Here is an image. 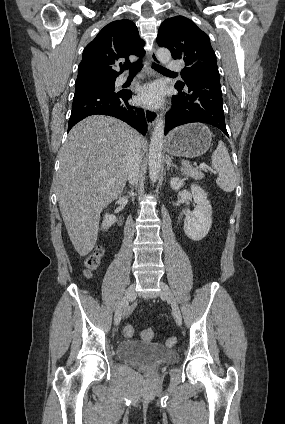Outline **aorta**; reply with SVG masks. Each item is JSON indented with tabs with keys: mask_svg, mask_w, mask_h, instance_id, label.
<instances>
[{
	"mask_svg": "<svg viewBox=\"0 0 285 424\" xmlns=\"http://www.w3.org/2000/svg\"><path fill=\"white\" fill-rule=\"evenodd\" d=\"M156 56L161 63H169L171 60V53L166 48H159ZM165 120L162 115L156 119V124L151 136L148 156L149 177L154 183L157 181L162 163V147L164 138Z\"/></svg>",
	"mask_w": 285,
	"mask_h": 424,
	"instance_id": "762f6f07",
	"label": "aorta"
}]
</instances>
